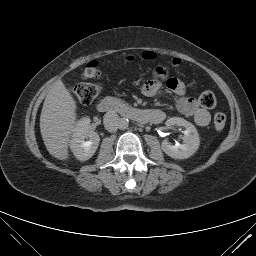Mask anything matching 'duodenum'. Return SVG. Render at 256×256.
<instances>
[{
  "instance_id": "1",
  "label": "duodenum",
  "mask_w": 256,
  "mask_h": 256,
  "mask_svg": "<svg viewBox=\"0 0 256 256\" xmlns=\"http://www.w3.org/2000/svg\"><path fill=\"white\" fill-rule=\"evenodd\" d=\"M97 110L102 113L117 111L142 124L157 123L162 119V114L157 111L131 107L113 97L102 99Z\"/></svg>"
}]
</instances>
